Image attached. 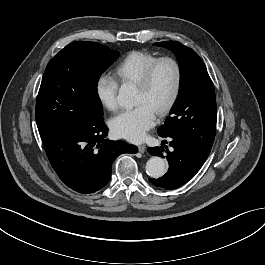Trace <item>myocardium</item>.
Here are the masks:
<instances>
[{
    "mask_svg": "<svg viewBox=\"0 0 265 265\" xmlns=\"http://www.w3.org/2000/svg\"><path fill=\"white\" fill-rule=\"evenodd\" d=\"M164 62H168V63L172 64V66L174 67L175 83H174V88H173V91H172V94H171L169 100L165 103L164 106H162L156 112V114L159 117L166 116L173 109V107L175 106V104L178 101V98H179V95L181 92V87H182V79H183L182 68H181L179 62L175 58L169 57V56L157 58L154 62H152L146 68V70L142 74L140 80L136 84L137 88H139L140 90H142V91L148 90L150 85H151L152 78H153V75H154L156 68Z\"/></svg>",
    "mask_w": 265,
    "mask_h": 265,
    "instance_id": "1",
    "label": "myocardium"
}]
</instances>
